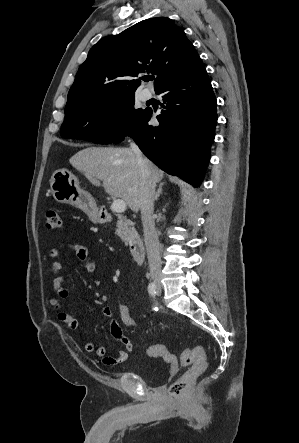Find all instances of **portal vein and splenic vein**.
I'll use <instances>...</instances> for the list:
<instances>
[{
  "label": "portal vein and splenic vein",
  "instance_id": "1",
  "mask_svg": "<svg viewBox=\"0 0 299 443\" xmlns=\"http://www.w3.org/2000/svg\"><path fill=\"white\" fill-rule=\"evenodd\" d=\"M111 209L116 213H123L126 210V203L122 199H116L113 201Z\"/></svg>",
  "mask_w": 299,
  "mask_h": 443
}]
</instances>
